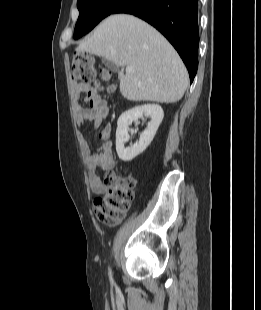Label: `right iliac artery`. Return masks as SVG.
Here are the masks:
<instances>
[{
	"label": "right iliac artery",
	"instance_id": "82829eb1",
	"mask_svg": "<svg viewBox=\"0 0 261 310\" xmlns=\"http://www.w3.org/2000/svg\"><path fill=\"white\" fill-rule=\"evenodd\" d=\"M109 276H110V280H111V283L113 284V279H112V275H111V270H109Z\"/></svg>",
	"mask_w": 261,
	"mask_h": 310
}]
</instances>
